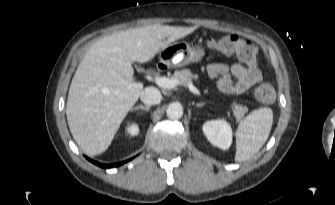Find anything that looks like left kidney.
<instances>
[{"label": "left kidney", "instance_id": "left-kidney-1", "mask_svg": "<svg viewBox=\"0 0 335 205\" xmlns=\"http://www.w3.org/2000/svg\"><path fill=\"white\" fill-rule=\"evenodd\" d=\"M203 133L208 141L221 148L227 150L232 143V128L231 125L224 119L207 121L203 125Z\"/></svg>", "mask_w": 335, "mask_h": 205}]
</instances>
